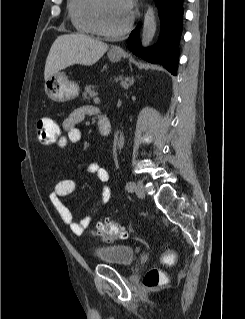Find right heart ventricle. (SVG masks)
I'll list each match as a JSON object with an SVG mask.
<instances>
[{"instance_id": "obj_1", "label": "right heart ventricle", "mask_w": 245, "mask_h": 319, "mask_svg": "<svg viewBox=\"0 0 245 319\" xmlns=\"http://www.w3.org/2000/svg\"><path fill=\"white\" fill-rule=\"evenodd\" d=\"M96 0H69L68 14L75 29L86 35H98L94 7Z\"/></svg>"}]
</instances>
